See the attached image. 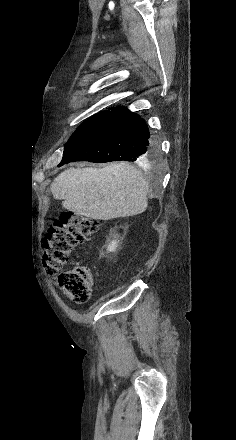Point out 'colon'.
Here are the masks:
<instances>
[{
  "instance_id": "colon-1",
  "label": "colon",
  "mask_w": 236,
  "mask_h": 440,
  "mask_svg": "<svg viewBox=\"0 0 236 440\" xmlns=\"http://www.w3.org/2000/svg\"><path fill=\"white\" fill-rule=\"evenodd\" d=\"M98 226L93 219L64 212L45 236V271L56 281L60 291L76 303H86L90 299L93 276L90 269L83 265L64 267L73 250L88 241Z\"/></svg>"
}]
</instances>
